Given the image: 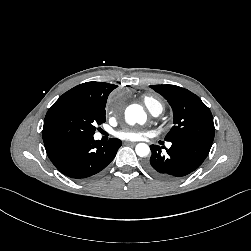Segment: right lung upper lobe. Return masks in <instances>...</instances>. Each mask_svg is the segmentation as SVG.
<instances>
[{"label":"right lung upper lobe","mask_w":251,"mask_h":251,"mask_svg":"<svg viewBox=\"0 0 251 251\" xmlns=\"http://www.w3.org/2000/svg\"><path fill=\"white\" fill-rule=\"evenodd\" d=\"M116 87H117L116 85L109 84V83L86 82L70 89L69 91L64 93L62 96L91 99L98 102L106 103L108 95Z\"/></svg>","instance_id":"1"}]
</instances>
